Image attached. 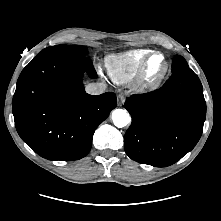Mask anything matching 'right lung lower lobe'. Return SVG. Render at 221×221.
Instances as JSON below:
<instances>
[{
	"instance_id": "1",
	"label": "right lung lower lobe",
	"mask_w": 221,
	"mask_h": 221,
	"mask_svg": "<svg viewBox=\"0 0 221 221\" xmlns=\"http://www.w3.org/2000/svg\"><path fill=\"white\" fill-rule=\"evenodd\" d=\"M95 78L86 56L37 55L21 72L13 97L20 137L49 160L71 161L91 149L95 129L116 107V95L85 92L83 73Z\"/></svg>"
}]
</instances>
